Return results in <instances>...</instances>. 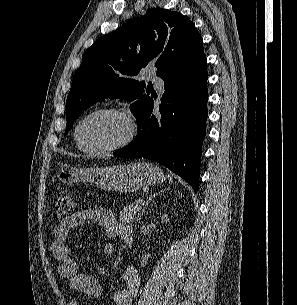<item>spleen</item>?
<instances>
[{"mask_svg": "<svg viewBox=\"0 0 297 305\" xmlns=\"http://www.w3.org/2000/svg\"><path fill=\"white\" fill-rule=\"evenodd\" d=\"M169 178V182H172V177L170 175H168Z\"/></svg>", "mask_w": 297, "mask_h": 305, "instance_id": "3e777b00", "label": "spleen"}]
</instances>
